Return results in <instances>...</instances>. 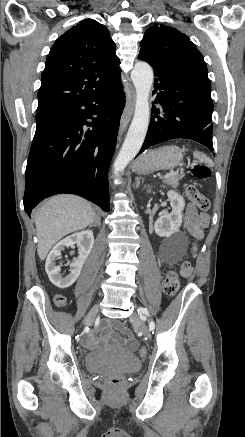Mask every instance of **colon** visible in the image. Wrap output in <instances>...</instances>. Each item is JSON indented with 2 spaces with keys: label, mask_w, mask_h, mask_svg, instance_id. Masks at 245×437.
Segmentation results:
<instances>
[{
  "label": "colon",
  "mask_w": 245,
  "mask_h": 437,
  "mask_svg": "<svg viewBox=\"0 0 245 437\" xmlns=\"http://www.w3.org/2000/svg\"><path fill=\"white\" fill-rule=\"evenodd\" d=\"M191 172L193 176H195L197 179L206 181L210 177V169L207 165H205L202 162L199 161H193L191 164ZM186 194L188 198L195 203V205L202 211H206L210 207V203L207 197L202 195L197 187L195 185H189L186 188ZM190 268V263L188 261L184 262L182 264V270L187 271ZM180 286L179 281V274L175 270H171L166 273L162 288L164 293L169 296L173 297L176 295L178 289ZM55 303L59 307H63L66 303L65 297L62 295H56L55 297ZM137 352L140 356H145L147 353V350L144 346L138 347ZM122 381V377L120 376H112L109 378V382L113 385L120 384Z\"/></svg>",
  "instance_id": "colon-1"
}]
</instances>
